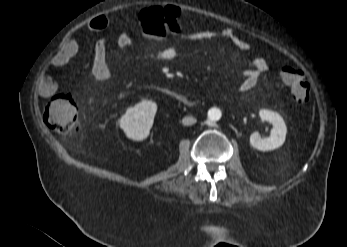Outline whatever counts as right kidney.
Here are the masks:
<instances>
[{
  "mask_svg": "<svg viewBox=\"0 0 347 247\" xmlns=\"http://www.w3.org/2000/svg\"><path fill=\"white\" fill-rule=\"evenodd\" d=\"M157 111L155 102L143 100L129 108L119 120V126L126 136L132 140L147 138Z\"/></svg>",
  "mask_w": 347,
  "mask_h": 247,
  "instance_id": "right-kidney-1",
  "label": "right kidney"
}]
</instances>
